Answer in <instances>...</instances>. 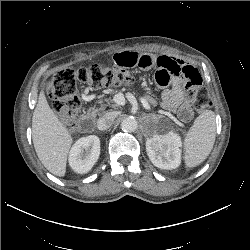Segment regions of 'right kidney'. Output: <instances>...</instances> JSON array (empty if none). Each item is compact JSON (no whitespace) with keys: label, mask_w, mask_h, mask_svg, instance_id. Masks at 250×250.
I'll use <instances>...</instances> for the list:
<instances>
[{"label":"right kidney","mask_w":250,"mask_h":250,"mask_svg":"<svg viewBox=\"0 0 250 250\" xmlns=\"http://www.w3.org/2000/svg\"><path fill=\"white\" fill-rule=\"evenodd\" d=\"M100 155V140L95 135L82 137L72 146L69 154V165L77 173L91 170Z\"/></svg>","instance_id":"right-kidney-1"}]
</instances>
